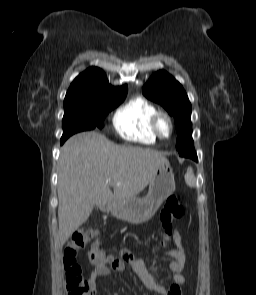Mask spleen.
Returning a JSON list of instances; mask_svg holds the SVG:
<instances>
[{
  "label": "spleen",
  "instance_id": "1",
  "mask_svg": "<svg viewBox=\"0 0 256 295\" xmlns=\"http://www.w3.org/2000/svg\"><path fill=\"white\" fill-rule=\"evenodd\" d=\"M185 181L190 187L195 186V176L192 171V168H188L187 173L185 175Z\"/></svg>",
  "mask_w": 256,
  "mask_h": 295
}]
</instances>
